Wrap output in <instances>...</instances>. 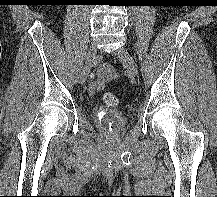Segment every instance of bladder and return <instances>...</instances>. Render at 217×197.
<instances>
[{
  "mask_svg": "<svg viewBox=\"0 0 217 197\" xmlns=\"http://www.w3.org/2000/svg\"><path fill=\"white\" fill-rule=\"evenodd\" d=\"M93 117L103 129L112 132L122 130L126 124L124 114L116 109L96 107L93 110Z\"/></svg>",
  "mask_w": 217,
  "mask_h": 197,
  "instance_id": "31cf9c89",
  "label": "bladder"
}]
</instances>
